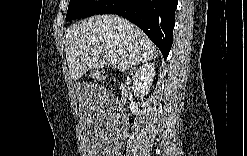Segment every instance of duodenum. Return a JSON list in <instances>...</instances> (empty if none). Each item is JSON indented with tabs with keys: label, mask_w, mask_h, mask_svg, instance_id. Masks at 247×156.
Segmentation results:
<instances>
[{
	"label": "duodenum",
	"mask_w": 247,
	"mask_h": 156,
	"mask_svg": "<svg viewBox=\"0 0 247 156\" xmlns=\"http://www.w3.org/2000/svg\"><path fill=\"white\" fill-rule=\"evenodd\" d=\"M126 92V88H122V93H125Z\"/></svg>",
	"instance_id": "1"
}]
</instances>
